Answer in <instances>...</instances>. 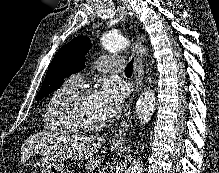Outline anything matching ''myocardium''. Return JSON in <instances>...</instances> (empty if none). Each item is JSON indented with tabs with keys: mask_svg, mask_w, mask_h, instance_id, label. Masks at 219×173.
Returning <instances> with one entry per match:
<instances>
[{
	"mask_svg": "<svg viewBox=\"0 0 219 173\" xmlns=\"http://www.w3.org/2000/svg\"><path fill=\"white\" fill-rule=\"evenodd\" d=\"M95 94L90 87H83L72 94L65 104V117L69 124L78 132L92 133L102 130L107 125V119L98 124L86 123L79 115L78 108L80 103L87 96Z\"/></svg>",
	"mask_w": 219,
	"mask_h": 173,
	"instance_id": "myocardium-1",
	"label": "myocardium"
}]
</instances>
